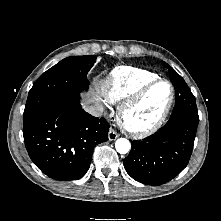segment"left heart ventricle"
Wrapping results in <instances>:
<instances>
[{
	"instance_id": "b2bd125f",
	"label": "left heart ventricle",
	"mask_w": 221,
	"mask_h": 221,
	"mask_svg": "<svg viewBox=\"0 0 221 221\" xmlns=\"http://www.w3.org/2000/svg\"><path fill=\"white\" fill-rule=\"evenodd\" d=\"M170 96L167 83L157 84L147 95L144 103L132 114L131 120L136 125H147L161 113Z\"/></svg>"
}]
</instances>
